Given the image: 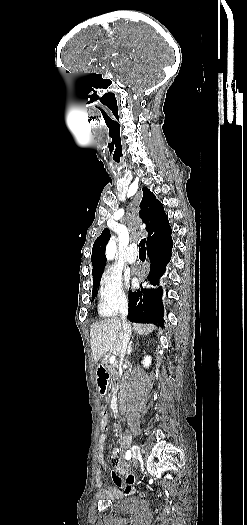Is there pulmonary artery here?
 Listing matches in <instances>:
<instances>
[{"label": "pulmonary artery", "mask_w": 247, "mask_h": 525, "mask_svg": "<svg viewBox=\"0 0 247 525\" xmlns=\"http://www.w3.org/2000/svg\"><path fill=\"white\" fill-rule=\"evenodd\" d=\"M134 247L133 246H130L129 248H127L125 250V257H124V260L126 263L128 264H131L134 262L135 260V257H134Z\"/></svg>", "instance_id": "pulmonary-artery-1"}]
</instances>
